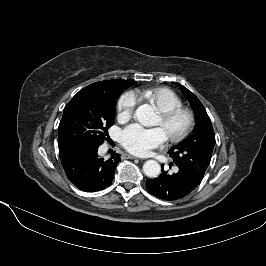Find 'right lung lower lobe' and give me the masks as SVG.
Here are the masks:
<instances>
[{
    "instance_id": "right-lung-lower-lobe-1",
    "label": "right lung lower lobe",
    "mask_w": 266,
    "mask_h": 266,
    "mask_svg": "<svg viewBox=\"0 0 266 266\" xmlns=\"http://www.w3.org/2000/svg\"><path fill=\"white\" fill-rule=\"evenodd\" d=\"M100 145H72L59 147V156L69 180L80 190L96 192L108 187L120 161L113 153L108 160L99 158Z\"/></svg>"
}]
</instances>
